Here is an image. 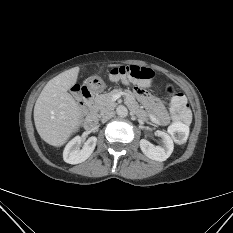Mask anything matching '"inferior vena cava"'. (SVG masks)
Returning a JSON list of instances; mask_svg holds the SVG:
<instances>
[{
  "label": "inferior vena cava",
  "instance_id": "obj_1",
  "mask_svg": "<svg viewBox=\"0 0 233 233\" xmlns=\"http://www.w3.org/2000/svg\"><path fill=\"white\" fill-rule=\"evenodd\" d=\"M115 115V112L114 111H107L105 112L104 114H102V117H101V121L103 123L107 122L109 119H111L112 117H114Z\"/></svg>",
  "mask_w": 233,
  "mask_h": 233
}]
</instances>
